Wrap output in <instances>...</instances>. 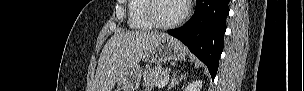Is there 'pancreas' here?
<instances>
[{
  "label": "pancreas",
  "mask_w": 304,
  "mask_h": 91,
  "mask_svg": "<svg viewBox=\"0 0 304 91\" xmlns=\"http://www.w3.org/2000/svg\"><path fill=\"white\" fill-rule=\"evenodd\" d=\"M168 73V68L162 66L147 68L143 74V86L146 88L160 87Z\"/></svg>",
  "instance_id": "pancreas-1"
}]
</instances>
